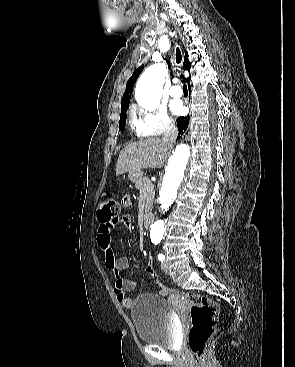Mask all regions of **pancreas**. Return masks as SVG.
<instances>
[{"label":"pancreas","instance_id":"pancreas-1","mask_svg":"<svg viewBox=\"0 0 295 367\" xmlns=\"http://www.w3.org/2000/svg\"><path fill=\"white\" fill-rule=\"evenodd\" d=\"M151 186V190L147 191L146 187ZM136 189L139 190L140 194L144 195L146 198L145 202V213L149 212L153 205L154 199V191L153 185L151 184L150 180L147 177H143L142 180L135 185Z\"/></svg>","mask_w":295,"mask_h":367}]
</instances>
